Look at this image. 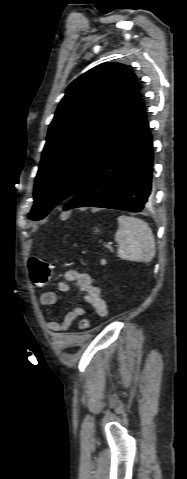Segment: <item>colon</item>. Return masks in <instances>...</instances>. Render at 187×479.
<instances>
[{"label": "colon", "mask_w": 187, "mask_h": 479, "mask_svg": "<svg viewBox=\"0 0 187 479\" xmlns=\"http://www.w3.org/2000/svg\"><path fill=\"white\" fill-rule=\"evenodd\" d=\"M28 270L31 281L35 285L46 284L52 275V265L37 256L29 258ZM90 325V320L88 318H83L79 322V329L85 331L89 329Z\"/></svg>", "instance_id": "1"}]
</instances>
